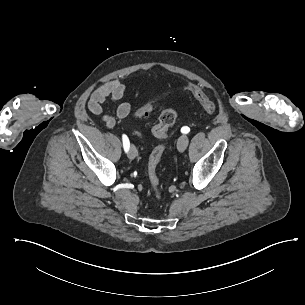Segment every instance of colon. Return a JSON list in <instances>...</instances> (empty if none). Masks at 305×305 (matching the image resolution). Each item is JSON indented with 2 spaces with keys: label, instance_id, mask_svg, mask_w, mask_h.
<instances>
[{
  "label": "colon",
  "instance_id": "colon-1",
  "mask_svg": "<svg viewBox=\"0 0 305 305\" xmlns=\"http://www.w3.org/2000/svg\"><path fill=\"white\" fill-rule=\"evenodd\" d=\"M188 90L190 93L194 94L196 100L207 113L212 114L216 111V106L208 99L206 94L201 89H199L197 84H190ZM154 109L155 107L152 105L143 106L137 111V116L142 117L148 115ZM176 116L177 114L174 109L169 107H162L158 122L152 129V134L157 138H166L168 129L174 124ZM164 151L165 145L163 143L157 144L151 151L148 160V175L151 182L152 191L156 196H159L161 193L159 191L160 182L156 171Z\"/></svg>",
  "mask_w": 305,
  "mask_h": 305
}]
</instances>
